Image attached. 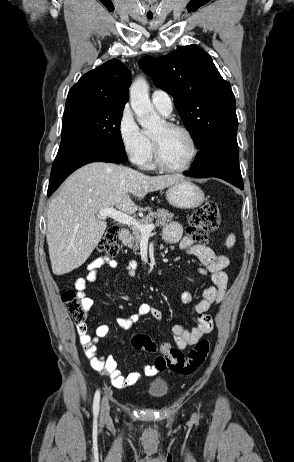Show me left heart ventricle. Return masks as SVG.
Returning a JSON list of instances; mask_svg holds the SVG:
<instances>
[{
    "instance_id": "left-heart-ventricle-1",
    "label": "left heart ventricle",
    "mask_w": 294,
    "mask_h": 462,
    "mask_svg": "<svg viewBox=\"0 0 294 462\" xmlns=\"http://www.w3.org/2000/svg\"><path fill=\"white\" fill-rule=\"evenodd\" d=\"M153 136L160 142L162 157L166 164L179 167L187 163L192 153V146L184 132L168 129L163 123Z\"/></svg>"
}]
</instances>
